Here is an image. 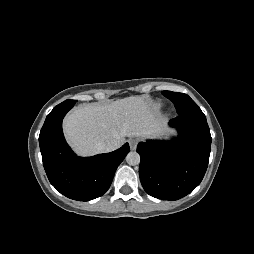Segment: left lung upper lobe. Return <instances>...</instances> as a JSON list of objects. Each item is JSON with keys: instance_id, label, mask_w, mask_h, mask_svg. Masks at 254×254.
Masks as SVG:
<instances>
[{"instance_id": "left-lung-upper-lobe-1", "label": "left lung upper lobe", "mask_w": 254, "mask_h": 254, "mask_svg": "<svg viewBox=\"0 0 254 254\" xmlns=\"http://www.w3.org/2000/svg\"><path fill=\"white\" fill-rule=\"evenodd\" d=\"M162 93L174 103L179 116L197 115L205 117L198 105L188 95L172 91H163Z\"/></svg>"}]
</instances>
